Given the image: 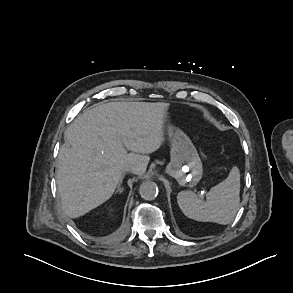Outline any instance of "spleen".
Returning a JSON list of instances; mask_svg holds the SVG:
<instances>
[{"instance_id":"3e777b00","label":"spleen","mask_w":293,"mask_h":293,"mask_svg":"<svg viewBox=\"0 0 293 293\" xmlns=\"http://www.w3.org/2000/svg\"><path fill=\"white\" fill-rule=\"evenodd\" d=\"M240 172L234 166L228 177L212 187L206 201H201L192 191H181L177 202L188 218L202 222L229 224L235 217L240 204Z\"/></svg>"}]
</instances>
